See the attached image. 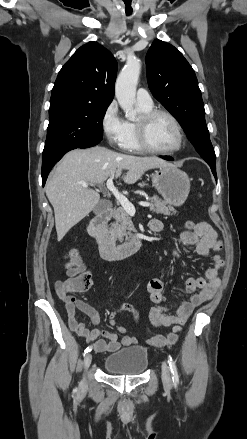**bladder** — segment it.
I'll list each match as a JSON object with an SVG mask.
<instances>
[{"mask_svg": "<svg viewBox=\"0 0 247 439\" xmlns=\"http://www.w3.org/2000/svg\"><path fill=\"white\" fill-rule=\"evenodd\" d=\"M148 367V351L145 347L134 345L105 357L104 369L114 375L135 376Z\"/></svg>", "mask_w": 247, "mask_h": 439, "instance_id": "obj_1", "label": "bladder"}]
</instances>
